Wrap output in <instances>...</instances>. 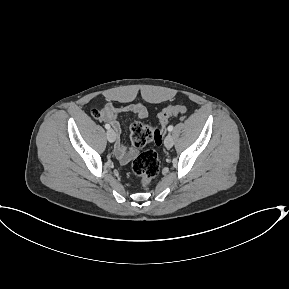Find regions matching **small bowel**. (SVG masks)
<instances>
[{"instance_id":"1","label":"small bowel","mask_w":289,"mask_h":289,"mask_svg":"<svg viewBox=\"0 0 289 289\" xmlns=\"http://www.w3.org/2000/svg\"><path fill=\"white\" fill-rule=\"evenodd\" d=\"M123 113L134 114L138 118L143 119L148 116L149 111L146 106L140 103L129 104L123 108L117 109L111 102H109L100 111L98 117L100 120L110 123L116 134L119 135L122 131V125L119 119V115ZM114 151L117 158L122 164H127L137 155L136 148H128L119 140L115 144Z\"/></svg>"}]
</instances>
